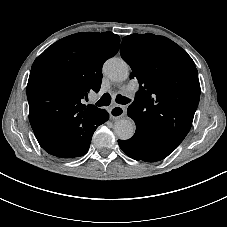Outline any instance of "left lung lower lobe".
<instances>
[{
    "instance_id": "0a47b994",
    "label": "left lung lower lobe",
    "mask_w": 227,
    "mask_h": 227,
    "mask_svg": "<svg viewBox=\"0 0 227 227\" xmlns=\"http://www.w3.org/2000/svg\"><path fill=\"white\" fill-rule=\"evenodd\" d=\"M120 148L126 155L146 162H156L164 159L174 150L153 141L141 130L136 129L135 135L128 140H118Z\"/></svg>"
}]
</instances>
